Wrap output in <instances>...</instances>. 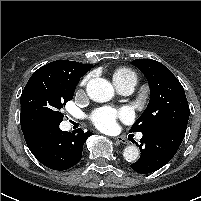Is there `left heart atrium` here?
Masks as SVG:
<instances>
[{"label":"left heart atrium","mask_w":201,"mask_h":201,"mask_svg":"<svg viewBox=\"0 0 201 201\" xmlns=\"http://www.w3.org/2000/svg\"><path fill=\"white\" fill-rule=\"evenodd\" d=\"M118 118L128 119L129 111L127 109L116 111L112 108H100L93 113L92 122L100 130L110 131L115 128Z\"/></svg>","instance_id":"1"}]
</instances>
